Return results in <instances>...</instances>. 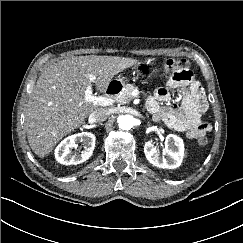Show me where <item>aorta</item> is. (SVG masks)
<instances>
[{"mask_svg":"<svg viewBox=\"0 0 243 243\" xmlns=\"http://www.w3.org/2000/svg\"><path fill=\"white\" fill-rule=\"evenodd\" d=\"M135 124V119L131 115H123L118 118L119 128L122 130H130Z\"/></svg>","mask_w":243,"mask_h":243,"instance_id":"aorta-1","label":"aorta"}]
</instances>
